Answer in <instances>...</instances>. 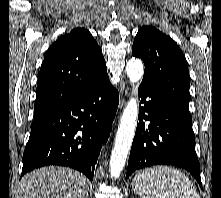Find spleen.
Listing matches in <instances>:
<instances>
[{"mask_svg": "<svg viewBox=\"0 0 221 198\" xmlns=\"http://www.w3.org/2000/svg\"><path fill=\"white\" fill-rule=\"evenodd\" d=\"M132 189L141 198H200L189 178L168 166L138 172L133 178Z\"/></svg>", "mask_w": 221, "mask_h": 198, "instance_id": "obj_1", "label": "spleen"}]
</instances>
